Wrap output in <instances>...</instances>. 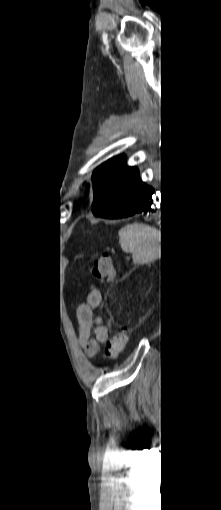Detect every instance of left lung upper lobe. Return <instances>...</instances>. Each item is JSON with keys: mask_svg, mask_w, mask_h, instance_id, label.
<instances>
[{"mask_svg": "<svg viewBox=\"0 0 221 510\" xmlns=\"http://www.w3.org/2000/svg\"><path fill=\"white\" fill-rule=\"evenodd\" d=\"M137 176H139L138 170L126 165L124 155L112 158L99 166L92 175L93 193L91 198L93 211L106 206ZM88 188L89 184L87 185L86 194H88Z\"/></svg>", "mask_w": 221, "mask_h": 510, "instance_id": "1", "label": "left lung upper lobe"}]
</instances>
